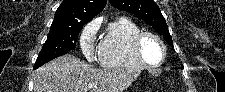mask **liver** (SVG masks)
Instances as JSON below:
<instances>
[{"label":"liver","instance_id":"6515ba94","mask_svg":"<svg viewBox=\"0 0 225 92\" xmlns=\"http://www.w3.org/2000/svg\"><path fill=\"white\" fill-rule=\"evenodd\" d=\"M135 69H96L74 55H64L35 71L34 92H124L139 76Z\"/></svg>","mask_w":225,"mask_h":92}]
</instances>
